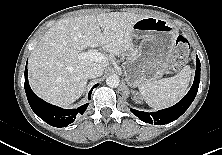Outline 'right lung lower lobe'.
<instances>
[{
	"mask_svg": "<svg viewBox=\"0 0 222 155\" xmlns=\"http://www.w3.org/2000/svg\"><path fill=\"white\" fill-rule=\"evenodd\" d=\"M94 85L89 92L88 98H91L92 90L97 87ZM25 92L28 102L34 111L42 120L54 127H66L75 120L77 114H83L88 107V103L84 104L77 109H62L60 107L51 105L34 94L28 83L27 65L25 68Z\"/></svg>",
	"mask_w": 222,
	"mask_h": 155,
	"instance_id": "right-lung-lower-lobe-1",
	"label": "right lung lower lobe"
}]
</instances>
